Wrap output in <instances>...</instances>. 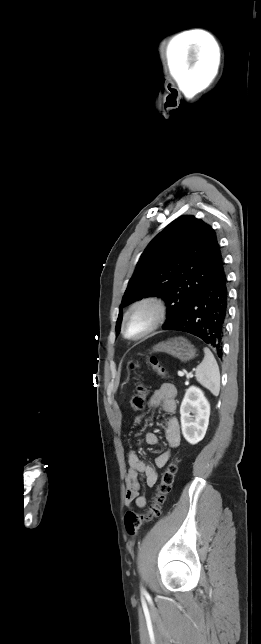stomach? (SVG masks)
<instances>
[{
	"mask_svg": "<svg viewBox=\"0 0 261 644\" xmlns=\"http://www.w3.org/2000/svg\"><path fill=\"white\" fill-rule=\"evenodd\" d=\"M153 352H164L182 362L193 359L196 355L194 346L183 337H176L153 346Z\"/></svg>",
	"mask_w": 261,
	"mask_h": 644,
	"instance_id": "0dacf381",
	"label": "stomach"
}]
</instances>
